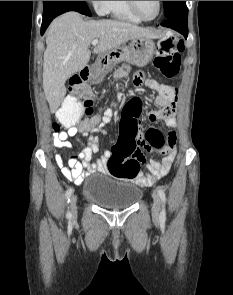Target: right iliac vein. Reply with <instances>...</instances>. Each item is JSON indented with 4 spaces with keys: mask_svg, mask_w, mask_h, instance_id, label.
I'll use <instances>...</instances> for the list:
<instances>
[{
    "mask_svg": "<svg viewBox=\"0 0 233 295\" xmlns=\"http://www.w3.org/2000/svg\"><path fill=\"white\" fill-rule=\"evenodd\" d=\"M70 210L71 215L75 216L77 214V196L73 195L70 200Z\"/></svg>",
    "mask_w": 233,
    "mask_h": 295,
    "instance_id": "1",
    "label": "right iliac vein"
}]
</instances>
